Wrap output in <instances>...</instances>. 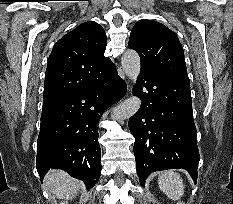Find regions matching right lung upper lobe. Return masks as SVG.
<instances>
[{
	"mask_svg": "<svg viewBox=\"0 0 233 204\" xmlns=\"http://www.w3.org/2000/svg\"><path fill=\"white\" fill-rule=\"evenodd\" d=\"M106 44L105 31L93 21L62 37L47 62L43 106L95 83L113 65L104 56Z\"/></svg>",
	"mask_w": 233,
	"mask_h": 204,
	"instance_id": "obj_1",
	"label": "right lung upper lobe"
}]
</instances>
